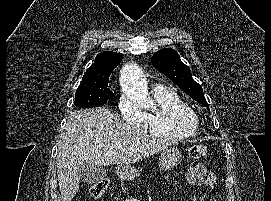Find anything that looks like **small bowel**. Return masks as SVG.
Returning a JSON list of instances; mask_svg holds the SVG:
<instances>
[{
  "label": "small bowel",
  "mask_w": 271,
  "mask_h": 201,
  "mask_svg": "<svg viewBox=\"0 0 271 201\" xmlns=\"http://www.w3.org/2000/svg\"><path fill=\"white\" fill-rule=\"evenodd\" d=\"M187 181L192 186L214 187L216 185L215 175L204 165H196L188 170Z\"/></svg>",
  "instance_id": "c3829d8e"
}]
</instances>
